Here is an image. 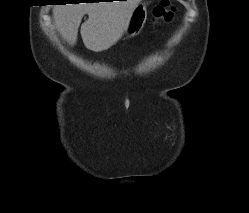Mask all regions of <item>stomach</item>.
<instances>
[{
    "mask_svg": "<svg viewBox=\"0 0 249 213\" xmlns=\"http://www.w3.org/2000/svg\"><path fill=\"white\" fill-rule=\"evenodd\" d=\"M147 19V3L141 1L138 3L130 16L124 33L128 37L136 36L143 28Z\"/></svg>",
    "mask_w": 249,
    "mask_h": 213,
    "instance_id": "0dacf381",
    "label": "stomach"
}]
</instances>
